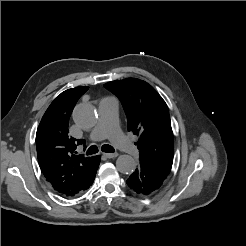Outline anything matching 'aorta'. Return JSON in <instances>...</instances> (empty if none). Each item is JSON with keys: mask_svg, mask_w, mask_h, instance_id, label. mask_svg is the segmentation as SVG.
<instances>
[{"mask_svg": "<svg viewBox=\"0 0 246 246\" xmlns=\"http://www.w3.org/2000/svg\"><path fill=\"white\" fill-rule=\"evenodd\" d=\"M75 123L83 129H90L97 122V112L93 105L82 103L75 107L73 111ZM116 167L123 174H131L136 169V162L130 155H120L116 160Z\"/></svg>", "mask_w": 246, "mask_h": 246, "instance_id": "762f6f07", "label": "aorta"}]
</instances>
